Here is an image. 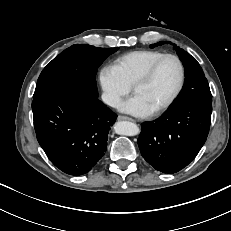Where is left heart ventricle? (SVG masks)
Returning <instances> with one entry per match:
<instances>
[{
    "label": "left heart ventricle",
    "instance_id": "obj_1",
    "mask_svg": "<svg viewBox=\"0 0 231 231\" xmlns=\"http://www.w3.org/2000/svg\"><path fill=\"white\" fill-rule=\"evenodd\" d=\"M180 77L179 66L174 59H164L146 83L138 86L134 93L154 110L164 103L176 89Z\"/></svg>",
    "mask_w": 231,
    "mask_h": 231
}]
</instances>
